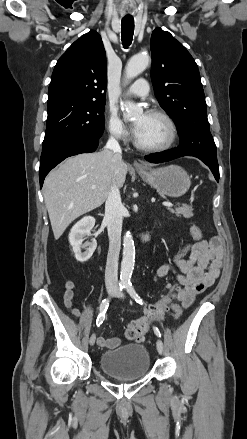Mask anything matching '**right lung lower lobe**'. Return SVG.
Returning <instances> with one entry per match:
<instances>
[{
    "label": "right lung lower lobe",
    "mask_w": 247,
    "mask_h": 439,
    "mask_svg": "<svg viewBox=\"0 0 247 439\" xmlns=\"http://www.w3.org/2000/svg\"><path fill=\"white\" fill-rule=\"evenodd\" d=\"M99 138H88L54 145L42 150L39 168L40 187L51 169L69 156L96 150Z\"/></svg>",
    "instance_id": "right-lung-lower-lobe-1"
}]
</instances>
